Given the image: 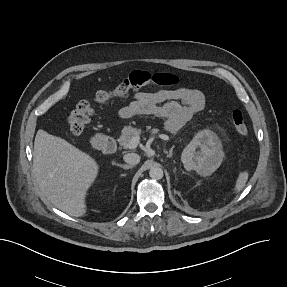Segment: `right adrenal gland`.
<instances>
[{
	"instance_id": "obj_1",
	"label": "right adrenal gland",
	"mask_w": 287,
	"mask_h": 287,
	"mask_svg": "<svg viewBox=\"0 0 287 287\" xmlns=\"http://www.w3.org/2000/svg\"><path fill=\"white\" fill-rule=\"evenodd\" d=\"M116 165L121 167V168H123V169H125V170H127L129 168H132V166H130V165H123V164H116Z\"/></svg>"
}]
</instances>
